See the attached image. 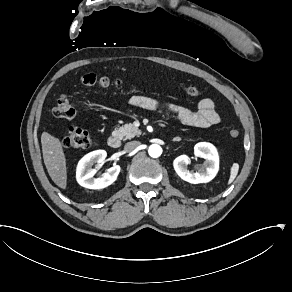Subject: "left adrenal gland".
I'll return each instance as SVG.
<instances>
[{
  "mask_svg": "<svg viewBox=\"0 0 292 292\" xmlns=\"http://www.w3.org/2000/svg\"><path fill=\"white\" fill-rule=\"evenodd\" d=\"M174 141H180V138H174Z\"/></svg>",
  "mask_w": 292,
  "mask_h": 292,
  "instance_id": "left-adrenal-gland-1",
  "label": "left adrenal gland"
}]
</instances>
